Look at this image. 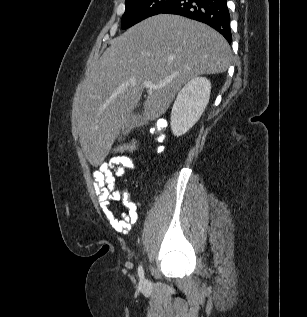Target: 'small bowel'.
Here are the masks:
<instances>
[{"instance_id": "1", "label": "small bowel", "mask_w": 307, "mask_h": 317, "mask_svg": "<svg viewBox=\"0 0 307 317\" xmlns=\"http://www.w3.org/2000/svg\"><path fill=\"white\" fill-rule=\"evenodd\" d=\"M135 168L136 160L132 155H114L93 172L94 189L100 206L112 228L123 234H128L136 223L138 206L130 199L126 190L117 187L116 177H123L127 170ZM116 201H121L127 211L115 213L111 206Z\"/></svg>"}]
</instances>
